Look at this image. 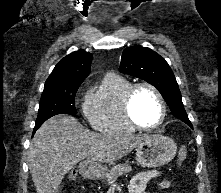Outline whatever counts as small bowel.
Here are the masks:
<instances>
[{
    "label": "small bowel",
    "mask_w": 221,
    "mask_h": 193,
    "mask_svg": "<svg viewBox=\"0 0 221 193\" xmlns=\"http://www.w3.org/2000/svg\"><path fill=\"white\" fill-rule=\"evenodd\" d=\"M162 172L154 169L146 172L136 174L130 184V193H145L147 183L155 178L161 177ZM173 184L170 180H162L160 183L161 188L167 189Z\"/></svg>",
    "instance_id": "1"
}]
</instances>
